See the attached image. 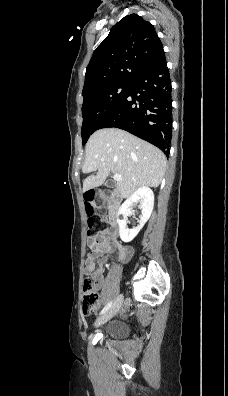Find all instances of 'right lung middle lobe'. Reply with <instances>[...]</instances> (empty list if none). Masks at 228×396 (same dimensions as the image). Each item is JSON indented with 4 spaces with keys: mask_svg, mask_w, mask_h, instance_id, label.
Returning a JSON list of instances; mask_svg holds the SVG:
<instances>
[{
    "mask_svg": "<svg viewBox=\"0 0 228 396\" xmlns=\"http://www.w3.org/2000/svg\"><path fill=\"white\" fill-rule=\"evenodd\" d=\"M131 82L110 84L83 95V123L81 129L82 144L99 129L104 119L109 116L126 96Z\"/></svg>",
    "mask_w": 228,
    "mask_h": 396,
    "instance_id": "right-lung-middle-lobe-1",
    "label": "right lung middle lobe"
}]
</instances>
